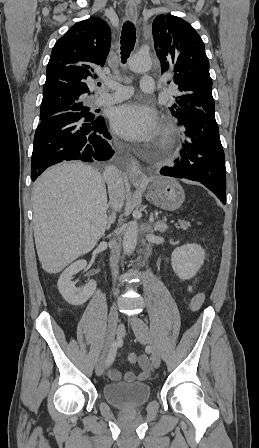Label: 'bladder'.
I'll return each instance as SVG.
<instances>
[{
    "instance_id": "31cf9c89",
    "label": "bladder",
    "mask_w": 259,
    "mask_h": 448,
    "mask_svg": "<svg viewBox=\"0 0 259 448\" xmlns=\"http://www.w3.org/2000/svg\"><path fill=\"white\" fill-rule=\"evenodd\" d=\"M106 401L114 407L130 410L147 403L151 389L147 383H109L103 388Z\"/></svg>"
}]
</instances>
